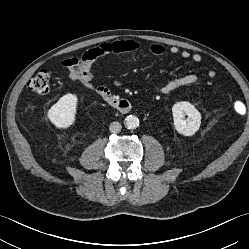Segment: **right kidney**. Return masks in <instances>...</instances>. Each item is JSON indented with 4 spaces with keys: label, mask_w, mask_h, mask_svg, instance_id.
<instances>
[{
    "label": "right kidney",
    "mask_w": 249,
    "mask_h": 249,
    "mask_svg": "<svg viewBox=\"0 0 249 249\" xmlns=\"http://www.w3.org/2000/svg\"><path fill=\"white\" fill-rule=\"evenodd\" d=\"M78 98L74 94L62 96L48 111V118L56 128L65 129L75 121Z\"/></svg>",
    "instance_id": "ca27d5eb"
}]
</instances>
